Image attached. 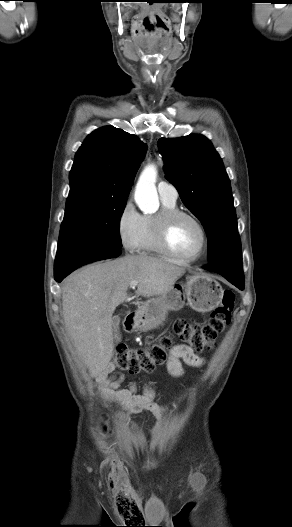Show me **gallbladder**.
Here are the masks:
<instances>
[{"instance_id":"1","label":"gallbladder","mask_w":292,"mask_h":527,"mask_svg":"<svg viewBox=\"0 0 292 527\" xmlns=\"http://www.w3.org/2000/svg\"><path fill=\"white\" fill-rule=\"evenodd\" d=\"M119 323H120L119 316H114L112 318V328H113L114 338H115V340L117 342H119L121 340V334H120V331H119Z\"/></svg>"}]
</instances>
